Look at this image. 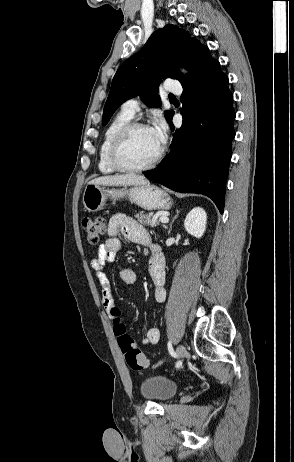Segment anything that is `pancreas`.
I'll list each match as a JSON object with an SVG mask.
<instances>
[{"label":"pancreas","instance_id":"obj_1","mask_svg":"<svg viewBox=\"0 0 294 462\" xmlns=\"http://www.w3.org/2000/svg\"><path fill=\"white\" fill-rule=\"evenodd\" d=\"M135 217L137 218L138 222L144 226H157L158 225L157 220L153 222L152 214H144L143 212H139L135 215Z\"/></svg>","mask_w":294,"mask_h":462}]
</instances>
